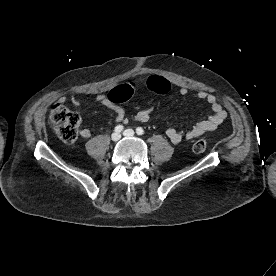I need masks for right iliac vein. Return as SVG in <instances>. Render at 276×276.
<instances>
[{"label": "right iliac vein", "mask_w": 276, "mask_h": 276, "mask_svg": "<svg viewBox=\"0 0 276 276\" xmlns=\"http://www.w3.org/2000/svg\"><path fill=\"white\" fill-rule=\"evenodd\" d=\"M120 138H121V135H120V133H118V132H114V133L111 135V139H112L114 142L118 141Z\"/></svg>", "instance_id": "right-iliac-vein-1"}]
</instances>
